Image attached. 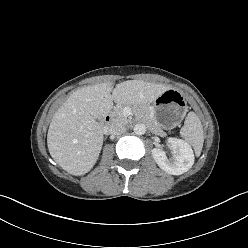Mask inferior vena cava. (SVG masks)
<instances>
[{"mask_svg": "<svg viewBox=\"0 0 248 248\" xmlns=\"http://www.w3.org/2000/svg\"><path fill=\"white\" fill-rule=\"evenodd\" d=\"M126 131L125 126L120 122H112L106 128V133L110 135H121Z\"/></svg>", "mask_w": 248, "mask_h": 248, "instance_id": "inferior-vena-cava-1", "label": "inferior vena cava"}]
</instances>
